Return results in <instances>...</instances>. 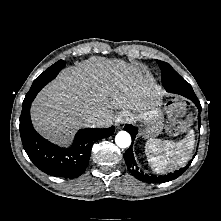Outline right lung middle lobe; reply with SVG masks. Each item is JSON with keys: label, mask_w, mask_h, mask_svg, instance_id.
I'll use <instances>...</instances> for the list:
<instances>
[{"label": "right lung middle lobe", "mask_w": 221, "mask_h": 221, "mask_svg": "<svg viewBox=\"0 0 221 221\" xmlns=\"http://www.w3.org/2000/svg\"><path fill=\"white\" fill-rule=\"evenodd\" d=\"M65 66V61L59 60L55 64H53L51 67H49L45 72H43L39 77H37L29 92L25 96V101L28 100L32 93L37 91H40L48 82H50L52 79H54L59 71Z\"/></svg>", "instance_id": "dd1d6c3e"}]
</instances>
